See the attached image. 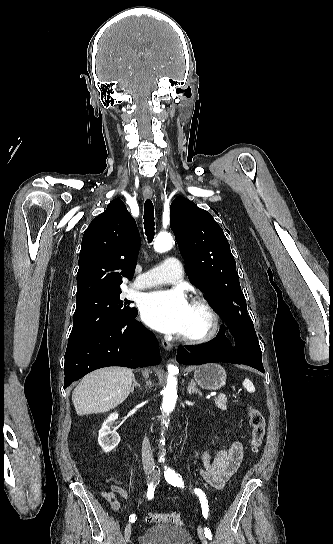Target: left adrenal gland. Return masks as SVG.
<instances>
[{
    "label": "left adrenal gland",
    "instance_id": "obj_1",
    "mask_svg": "<svg viewBox=\"0 0 333 544\" xmlns=\"http://www.w3.org/2000/svg\"><path fill=\"white\" fill-rule=\"evenodd\" d=\"M187 392H188L189 395H191L193 393H196L199 396L202 395L201 391L198 388H196V384H195L193 379L191 380V382H190V384H189V386L187 388Z\"/></svg>",
    "mask_w": 333,
    "mask_h": 544
}]
</instances>
